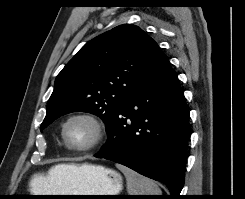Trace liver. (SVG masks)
I'll use <instances>...</instances> for the list:
<instances>
[{
    "mask_svg": "<svg viewBox=\"0 0 245 199\" xmlns=\"http://www.w3.org/2000/svg\"><path fill=\"white\" fill-rule=\"evenodd\" d=\"M78 167L79 165L75 164L56 165L48 171V175L46 177L42 175L36 176L34 182L40 183L42 189L47 193H58V191L63 188L61 182L70 178Z\"/></svg>",
    "mask_w": 245,
    "mask_h": 199,
    "instance_id": "obj_1",
    "label": "liver"
}]
</instances>
